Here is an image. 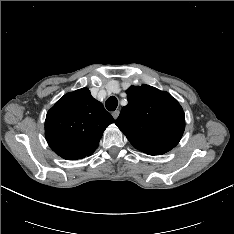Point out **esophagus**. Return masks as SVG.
<instances>
[{
	"instance_id": "34e87169",
	"label": "esophagus",
	"mask_w": 234,
	"mask_h": 234,
	"mask_svg": "<svg viewBox=\"0 0 234 234\" xmlns=\"http://www.w3.org/2000/svg\"><path fill=\"white\" fill-rule=\"evenodd\" d=\"M120 111L119 110H115L114 112H112V116L114 119H117V117L119 116Z\"/></svg>"
}]
</instances>
